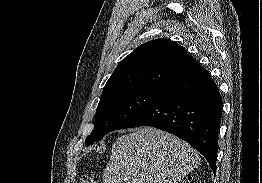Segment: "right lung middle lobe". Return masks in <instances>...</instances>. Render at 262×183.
Returning a JSON list of instances; mask_svg holds the SVG:
<instances>
[{"label": "right lung middle lobe", "instance_id": "right-lung-middle-lobe-1", "mask_svg": "<svg viewBox=\"0 0 262 183\" xmlns=\"http://www.w3.org/2000/svg\"><path fill=\"white\" fill-rule=\"evenodd\" d=\"M157 91L133 89L102 95L96 109L94 129L85 144L91 145L107 133L123 129L149 104Z\"/></svg>", "mask_w": 262, "mask_h": 183}]
</instances>
